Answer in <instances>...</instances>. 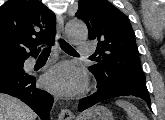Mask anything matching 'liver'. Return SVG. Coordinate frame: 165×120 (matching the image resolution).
Instances as JSON below:
<instances>
[{"label": "liver", "mask_w": 165, "mask_h": 120, "mask_svg": "<svg viewBox=\"0 0 165 120\" xmlns=\"http://www.w3.org/2000/svg\"><path fill=\"white\" fill-rule=\"evenodd\" d=\"M36 113L21 100L0 94V120H36Z\"/></svg>", "instance_id": "1"}]
</instances>
